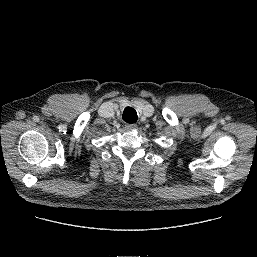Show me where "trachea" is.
Listing matches in <instances>:
<instances>
[{
    "instance_id": "1",
    "label": "trachea",
    "mask_w": 257,
    "mask_h": 257,
    "mask_svg": "<svg viewBox=\"0 0 257 257\" xmlns=\"http://www.w3.org/2000/svg\"><path fill=\"white\" fill-rule=\"evenodd\" d=\"M122 119L129 124H133L137 121V112L132 107H126L123 111Z\"/></svg>"
}]
</instances>
